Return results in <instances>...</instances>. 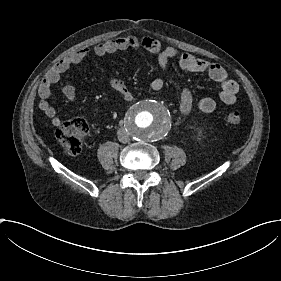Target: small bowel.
Returning a JSON list of instances; mask_svg holds the SVG:
<instances>
[{
	"label": "small bowel",
	"instance_id": "1",
	"mask_svg": "<svg viewBox=\"0 0 281 281\" xmlns=\"http://www.w3.org/2000/svg\"><path fill=\"white\" fill-rule=\"evenodd\" d=\"M143 48L147 51L158 53V66L161 71L169 69L170 62L175 60L178 67L189 72H206L210 77L220 84V99L226 105H233L236 102L239 85L236 81L229 79L226 70L219 64L204 59L196 58L190 54H179L173 47H163L161 42L151 37H137L132 35L121 36L101 43L83 47L64 60L57 63L50 73L43 80L39 90L38 106L40 111L54 127L63 124L62 118L57 114L50 104V96L53 86L60 81L63 74L72 66L84 61L92 56H103L116 51ZM109 88L118 93L125 101H132L133 95L127 85L118 77L110 75L108 78ZM164 81L155 78L151 82V88L155 91L163 89ZM66 100L73 104L76 102V89L73 85L67 84L62 89ZM191 92L188 88L183 89L180 96V108L182 113L187 114L191 109ZM199 107L205 112H212L217 107V100L213 96H205L199 101ZM98 108L94 109L97 112Z\"/></svg>",
	"mask_w": 281,
	"mask_h": 281
}]
</instances>
